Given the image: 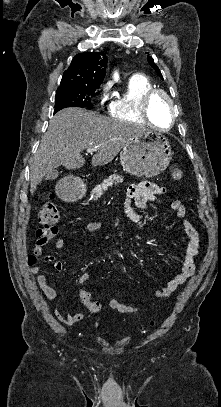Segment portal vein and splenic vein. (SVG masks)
<instances>
[{"mask_svg":"<svg viewBox=\"0 0 221 407\" xmlns=\"http://www.w3.org/2000/svg\"><path fill=\"white\" fill-rule=\"evenodd\" d=\"M95 150H96V148H89V149H87V153L92 154V153H93V151H95Z\"/></svg>","mask_w":221,"mask_h":407,"instance_id":"portal-vein-and-splenic-vein-1","label":"portal vein and splenic vein"}]
</instances>
